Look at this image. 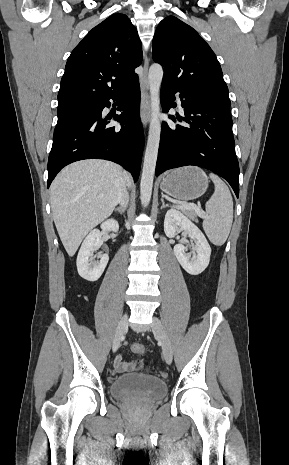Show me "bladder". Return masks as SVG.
I'll return each instance as SVG.
<instances>
[{
    "mask_svg": "<svg viewBox=\"0 0 289 465\" xmlns=\"http://www.w3.org/2000/svg\"><path fill=\"white\" fill-rule=\"evenodd\" d=\"M168 387L162 380L143 374H128L115 379L110 386L111 395L117 400L138 396L148 401L165 397Z\"/></svg>",
    "mask_w": 289,
    "mask_h": 465,
    "instance_id": "bladder-1",
    "label": "bladder"
}]
</instances>
